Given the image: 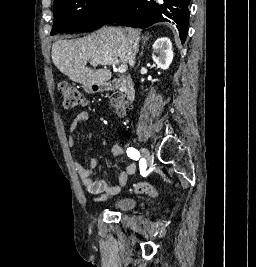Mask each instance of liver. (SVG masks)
<instances>
[{"instance_id": "obj_1", "label": "liver", "mask_w": 256, "mask_h": 267, "mask_svg": "<svg viewBox=\"0 0 256 267\" xmlns=\"http://www.w3.org/2000/svg\"><path fill=\"white\" fill-rule=\"evenodd\" d=\"M140 30L105 26L91 36L79 40H59L52 46V60L56 68L68 76L72 82L83 86H101L112 78L107 68L91 70L87 62H100L92 66H102L105 60H119L123 64H134L133 46L140 40Z\"/></svg>"}]
</instances>
